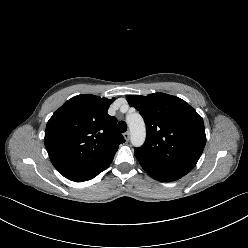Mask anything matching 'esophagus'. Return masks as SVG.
Here are the masks:
<instances>
[{
	"label": "esophagus",
	"mask_w": 248,
	"mask_h": 248,
	"mask_svg": "<svg viewBox=\"0 0 248 248\" xmlns=\"http://www.w3.org/2000/svg\"><path fill=\"white\" fill-rule=\"evenodd\" d=\"M123 136H124L125 140L128 141L129 138H130V132H129V131L125 132V133L123 134Z\"/></svg>",
	"instance_id": "1"
}]
</instances>
